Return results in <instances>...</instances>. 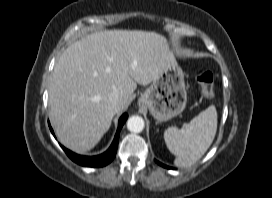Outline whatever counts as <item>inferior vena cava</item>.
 I'll use <instances>...</instances> for the list:
<instances>
[{"label": "inferior vena cava", "instance_id": "inferior-vena-cava-1", "mask_svg": "<svg viewBox=\"0 0 272 198\" xmlns=\"http://www.w3.org/2000/svg\"><path fill=\"white\" fill-rule=\"evenodd\" d=\"M109 100L114 103L117 104L120 100V94L117 90H114L113 92L110 93L109 95Z\"/></svg>", "mask_w": 272, "mask_h": 198}]
</instances>
